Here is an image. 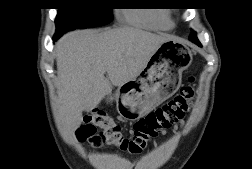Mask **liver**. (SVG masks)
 <instances>
[{
  "label": "liver",
  "mask_w": 252,
  "mask_h": 169,
  "mask_svg": "<svg viewBox=\"0 0 252 169\" xmlns=\"http://www.w3.org/2000/svg\"><path fill=\"white\" fill-rule=\"evenodd\" d=\"M170 39L167 34L131 27L65 34L56 44V85L64 131L72 134L82 123L83 111L97 107L113 86L136 78L157 48Z\"/></svg>",
  "instance_id": "6515ba94"
}]
</instances>
